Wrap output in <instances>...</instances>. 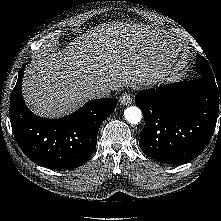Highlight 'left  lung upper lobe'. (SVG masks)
<instances>
[{
    "mask_svg": "<svg viewBox=\"0 0 221 221\" xmlns=\"http://www.w3.org/2000/svg\"><path fill=\"white\" fill-rule=\"evenodd\" d=\"M196 68L199 74L202 75V77L207 78V79H214L213 73L211 71V68L206 61V59L200 55L197 56V63H196Z\"/></svg>",
    "mask_w": 221,
    "mask_h": 221,
    "instance_id": "1",
    "label": "left lung upper lobe"
}]
</instances>
